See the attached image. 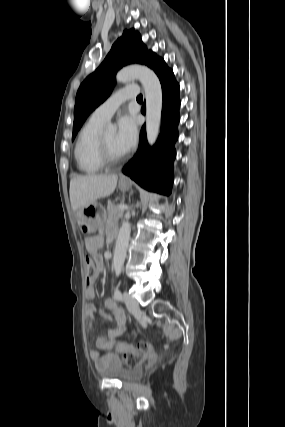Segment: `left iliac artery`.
<instances>
[{
    "label": "left iliac artery",
    "instance_id": "left-iliac-artery-1",
    "mask_svg": "<svg viewBox=\"0 0 285 427\" xmlns=\"http://www.w3.org/2000/svg\"><path fill=\"white\" fill-rule=\"evenodd\" d=\"M120 273H121V269H120V268H117V269H116V275H117V276H119V275H120ZM114 296H115V298H116L117 300H119V301H122V299H123V297H122V293H121V291H120L119 289H116V290H115Z\"/></svg>",
    "mask_w": 285,
    "mask_h": 427
}]
</instances>
